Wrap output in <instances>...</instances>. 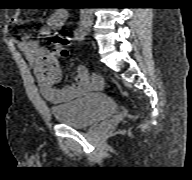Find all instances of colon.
<instances>
[{
	"label": "colon",
	"instance_id": "colon-1",
	"mask_svg": "<svg viewBox=\"0 0 192 180\" xmlns=\"http://www.w3.org/2000/svg\"><path fill=\"white\" fill-rule=\"evenodd\" d=\"M50 42L54 45L53 55H57L60 57L67 56L68 52L65 49V46L69 44L70 39L68 37L52 34L50 37Z\"/></svg>",
	"mask_w": 192,
	"mask_h": 180
}]
</instances>
